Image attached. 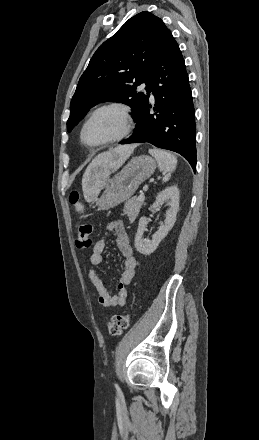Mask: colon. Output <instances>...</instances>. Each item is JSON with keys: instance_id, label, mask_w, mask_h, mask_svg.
Returning a JSON list of instances; mask_svg holds the SVG:
<instances>
[{"instance_id": "5ec220e1", "label": "colon", "mask_w": 259, "mask_h": 440, "mask_svg": "<svg viewBox=\"0 0 259 440\" xmlns=\"http://www.w3.org/2000/svg\"><path fill=\"white\" fill-rule=\"evenodd\" d=\"M69 200L81 217L84 218L78 225L77 247L80 249L89 248L93 241V226L89 221L85 220L86 212L84 205L80 201L79 193L76 190L72 191ZM130 320L131 313L113 316L108 323L109 333L113 336L121 335L128 328Z\"/></svg>"}]
</instances>
